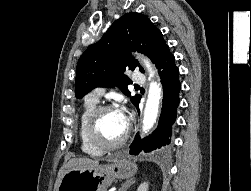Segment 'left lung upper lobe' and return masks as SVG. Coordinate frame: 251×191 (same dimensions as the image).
Segmentation results:
<instances>
[{"instance_id": "5c2ea615", "label": "left lung upper lobe", "mask_w": 251, "mask_h": 191, "mask_svg": "<svg viewBox=\"0 0 251 191\" xmlns=\"http://www.w3.org/2000/svg\"><path fill=\"white\" fill-rule=\"evenodd\" d=\"M169 49L159 29L145 15L131 12L116 20L99 42L90 45L78 60L76 70V98L98 86H118L130 96L127 86L131 80L124 74L126 70L144 69L129 54L138 51L157 63L161 55ZM140 99L135 95L130 100Z\"/></svg>"}]
</instances>
